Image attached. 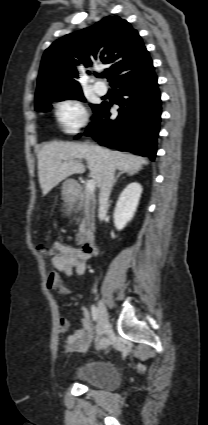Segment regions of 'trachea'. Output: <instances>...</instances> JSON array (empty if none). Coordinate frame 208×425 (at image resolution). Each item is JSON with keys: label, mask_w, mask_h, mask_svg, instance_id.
I'll list each match as a JSON object with an SVG mask.
<instances>
[{"label": "trachea", "mask_w": 208, "mask_h": 425, "mask_svg": "<svg viewBox=\"0 0 208 425\" xmlns=\"http://www.w3.org/2000/svg\"><path fill=\"white\" fill-rule=\"evenodd\" d=\"M99 77H102L103 78L104 77V74H100Z\"/></svg>", "instance_id": "1"}]
</instances>
